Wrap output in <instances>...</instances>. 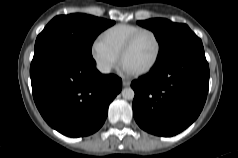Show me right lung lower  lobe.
I'll use <instances>...</instances> for the list:
<instances>
[{
	"mask_svg": "<svg viewBox=\"0 0 238 158\" xmlns=\"http://www.w3.org/2000/svg\"><path fill=\"white\" fill-rule=\"evenodd\" d=\"M30 77L42 117L69 137L99 130L109 104L122 89V80L113 74H101L93 57L54 41L34 51Z\"/></svg>",
	"mask_w": 238,
	"mask_h": 158,
	"instance_id": "1",
	"label": "right lung lower lobe"
}]
</instances>
